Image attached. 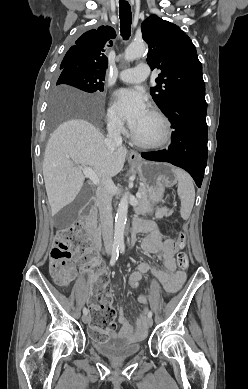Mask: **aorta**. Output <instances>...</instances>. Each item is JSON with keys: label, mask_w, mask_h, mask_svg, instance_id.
<instances>
[{"label": "aorta", "mask_w": 248, "mask_h": 389, "mask_svg": "<svg viewBox=\"0 0 248 389\" xmlns=\"http://www.w3.org/2000/svg\"><path fill=\"white\" fill-rule=\"evenodd\" d=\"M146 52L145 43H131L125 50L124 59L133 61ZM128 213V194L126 193L120 200L117 214L115 217L114 245L118 248L124 247V230Z\"/></svg>", "instance_id": "762f6f07"}]
</instances>
